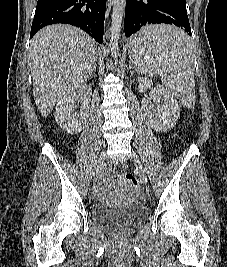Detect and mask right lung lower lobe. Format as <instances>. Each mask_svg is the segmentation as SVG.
<instances>
[{"mask_svg": "<svg viewBox=\"0 0 227 267\" xmlns=\"http://www.w3.org/2000/svg\"><path fill=\"white\" fill-rule=\"evenodd\" d=\"M105 9L106 0H38L30 38L47 25L67 23L102 43Z\"/></svg>", "mask_w": 227, "mask_h": 267, "instance_id": "right-lung-lower-lobe-1", "label": "right lung lower lobe"}]
</instances>
